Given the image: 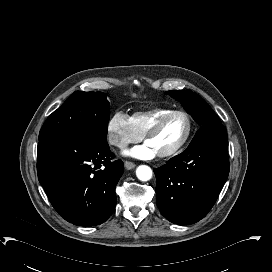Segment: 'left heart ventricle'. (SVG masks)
<instances>
[{
  "mask_svg": "<svg viewBox=\"0 0 272 272\" xmlns=\"http://www.w3.org/2000/svg\"><path fill=\"white\" fill-rule=\"evenodd\" d=\"M186 129L187 125L184 118L176 116L169 119L147 142L156 153L167 152L173 150L182 141Z\"/></svg>",
  "mask_w": 272,
  "mask_h": 272,
  "instance_id": "1",
  "label": "left heart ventricle"
}]
</instances>
